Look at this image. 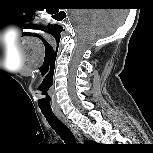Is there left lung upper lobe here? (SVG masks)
<instances>
[{
	"instance_id": "1",
	"label": "left lung upper lobe",
	"mask_w": 153,
	"mask_h": 153,
	"mask_svg": "<svg viewBox=\"0 0 153 153\" xmlns=\"http://www.w3.org/2000/svg\"><path fill=\"white\" fill-rule=\"evenodd\" d=\"M90 144H95V143L93 141H91Z\"/></svg>"
}]
</instances>
